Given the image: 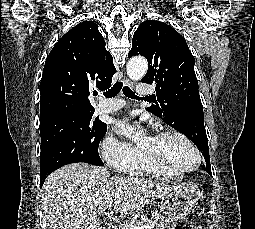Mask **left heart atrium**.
<instances>
[{
	"mask_svg": "<svg viewBox=\"0 0 255 229\" xmlns=\"http://www.w3.org/2000/svg\"><path fill=\"white\" fill-rule=\"evenodd\" d=\"M116 130L121 135L130 136L134 130V126L127 120H121L117 122Z\"/></svg>",
	"mask_w": 255,
	"mask_h": 229,
	"instance_id": "1",
	"label": "left heart atrium"
}]
</instances>
